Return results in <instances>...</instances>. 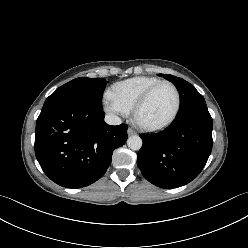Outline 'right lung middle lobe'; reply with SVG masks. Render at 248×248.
I'll return each instance as SVG.
<instances>
[{
  "mask_svg": "<svg viewBox=\"0 0 248 248\" xmlns=\"http://www.w3.org/2000/svg\"><path fill=\"white\" fill-rule=\"evenodd\" d=\"M103 78L79 77L56 89L44 104L60 100H76L102 109L101 98L106 86Z\"/></svg>",
  "mask_w": 248,
  "mask_h": 248,
  "instance_id": "obj_1",
  "label": "right lung middle lobe"
}]
</instances>
